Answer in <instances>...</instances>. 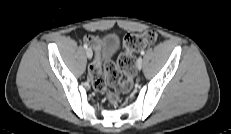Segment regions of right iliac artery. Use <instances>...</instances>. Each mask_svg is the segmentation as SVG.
Instances as JSON below:
<instances>
[{
    "mask_svg": "<svg viewBox=\"0 0 231 134\" xmlns=\"http://www.w3.org/2000/svg\"><path fill=\"white\" fill-rule=\"evenodd\" d=\"M87 47H88V46H87L86 44H84V48L87 49Z\"/></svg>",
    "mask_w": 231,
    "mask_h": 134,
    "instance_id": "82829eb1",
    "label": "right iliac artery"
}]
</instances>
